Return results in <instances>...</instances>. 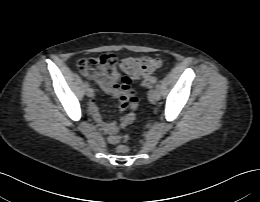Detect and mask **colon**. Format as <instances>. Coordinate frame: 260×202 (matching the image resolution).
I'll use <instances>...</instances> for the list:
<instances>
[{"label":"colon","instance_id":"5ec220e1","mask_svg":"<svg viewBox=\"0 0 260 202\" xmlns=\"http://www.w3.org/2000/svg\"><path fill=\"white\" fill-rule=\"evenodd\" d=\"M160 59L153 56H132L117 60L113 54H103L99 57L84 58L78 62L81 74L99 83L109 82L118 76V69L124 73L122 81L130 82L131 79H142L141 85L152 87L157 78L152 73L160 66ZM129 134L118 137L119 140L128 141ZM119 153H127L128 148L120 145Z\"/></svg>","mask_w":260,"mask_h":202}]
</instances>
